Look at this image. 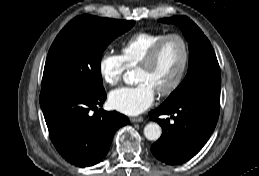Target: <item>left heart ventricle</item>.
I'll use <instances>...</instances> for the list:
<instances>
[{"instance_id": "1", "label": "left heart ventricle", "mask_w": 259, "mask_h": 176, "mask_svg": "<svg viewBox=\"0 0 259 176\" xmlns=\"http://www.w3.org/2000/svg\"><path fill=\"white\" fill-rule=\"evenodd\" d=\"M183 59V50L176 39L168 40L153 65L136 69V80L149 83L156 91L168 86L176 77Z\"/></svg>"}]
</instances>
